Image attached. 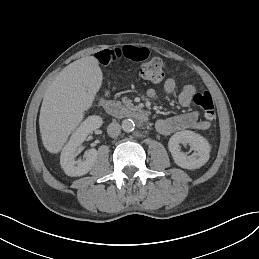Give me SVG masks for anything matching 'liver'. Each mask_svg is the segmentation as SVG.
<instances>
[{"label": "liver", "mask_w": 259, "mask_h": 259, "mask_svg": "<svg viewBox=\"0 0 259 259\" xmlns=\"http://www.w3.org/2000/svg\"><path fill=\"white\" fill-rule=\"evenodd\" d=\"M98 60L88 56L66 66L46 89L39 116L44 147L58 153L82 121L102 84Z\"/></svg>", "instance_id": "6515ba94"}]
</instances>
